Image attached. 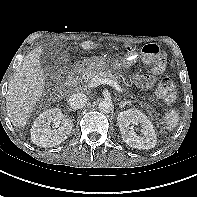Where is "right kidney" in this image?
I'll return each instance as SVG.
<instances>
[{"label":"right kidney","instance_id":"1","mask_svg":"<svg viewBox=\"0 0 197 197\" xmlns=\"http://www.w3.org/2000/svg\"><path fill=\"white\" fill-rule=\"evenodd\" d=\"M53 123L54 129L50 124ZM73 122L60 109L44 111L34 121L31 128V140L41 147H55L65 141L71 133Z\"/></svg>","mask_w":197,"mask_h":197}]
</instances>
